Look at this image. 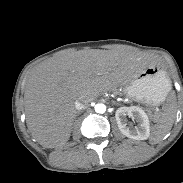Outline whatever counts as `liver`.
Returning <instances> with one entry per match:
<instances>
[{
	"mask_svg": "<svg viewBox=\"0 0 183 183\" xmlns=\"http://www.w3.org/2000/svg\"><path fill=\"white\" fill-rule=\"evenodd\" d=\"M150 62L120 50L68 52L36 65L28 74L24 108L28 130L42 146H63L70 138L75 101L123 86Z\"/></svg>",
	"mask_w": 183,
	"mask_h": 183,
	"instance_id": "obj_1",
	"label": "liver"
}]
</instances>
